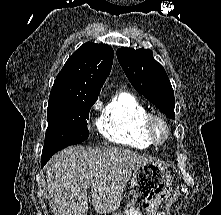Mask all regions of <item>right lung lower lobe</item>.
<instances>
[{
    "mask_svg": "<svg viewBox=\"0 0 221 215\" xmlns=\"http://www.w3.org/2000/svg\"><path fill=\"white\" fill-rule=\"evenodd\" d=\"M50 158L48 159H42V167L47 163V161L49 160Z\"/></svg>",
    "mask_w": 221,
    "mask_h": 215,
    "instance_id": "98d812e1",
    "label": "right lung lower lobe"
}]
</instances>
